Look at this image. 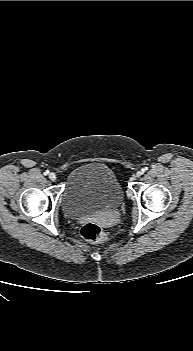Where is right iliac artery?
<instances>
[{
  "label": "right iliac artery",
  "instance_id": "1",
  "mask_svg": "<svg viewBox=\"0 0 193 351\" xmlns=\"http://www.w3.org/2000/svg\"><path fill=\"white\" fill-rule=\"evenodd\" d=\"M48 174H49V171L46 170V171L44 172V175H48Z\"/></svg>",
  "mask_w": 193,
  "mask_h": 351
}]
</instances>
